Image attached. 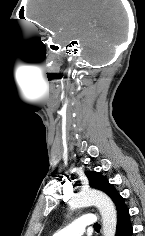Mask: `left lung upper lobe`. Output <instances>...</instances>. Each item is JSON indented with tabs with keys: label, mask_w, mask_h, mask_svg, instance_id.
<instances>
[{
	"label": "left lung upper lobe",
	"mask_w": 145,
	"mask_h": 236,
	"mask_svg": "<svg viewBox=\"0 0 145 236\" xmlns=\"http://www.w3.org/2000/svg\"><path fill=\"white\" fill-rule=\"evenodd\" d=\"M89 185L92 188L105 192L115 203L117 212L126 208L124 198L116 191L114 186L110 184L106 177H103L99 172L86 171L85 172Z\"/></svg>",
	"instance_id": "1"
}]
</instances>
